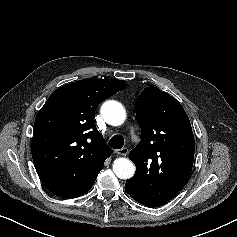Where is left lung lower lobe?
<instances>
[{"instance_id": "1", "label": "left lung lower lobe", "mask_w": 237, "mask_h": 237, "mask_svg": "<svg viewBox=\"0 0 237 237\" xmlns=\"http://www.w3.org/2000/svg\"><path fill=\"white\" fill-rule=\"evenodd\" d=\"M125 190H126V192H127L135 201H137V197H136L135 194L133 193L132 181H131V179H129V180L126 181Z\"/></svg>"}]
</instances>
